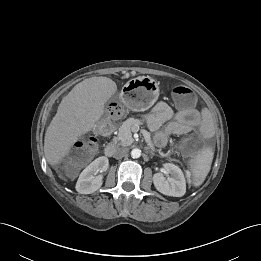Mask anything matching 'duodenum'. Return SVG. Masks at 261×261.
Here are the masks:
<instances>
[{"mask_svg": "<svg viewBox=\"0 0 261 261\" xmlns=\"http://www.w3.org/2000/svg\"><path fill=\"white\" fill-rule=\"evenodd\" d=\"M112 128L113 124L111 121H105L99 127L100 131L104 134L111 132ZM104 152L106 156L111 157L115 152V147L112 144H109L105 147Z\"/></svg>", "mask_w": 261, "mask_h": 261, "instance_id": "duodenum-1", "label": "duodenum"}]
</instances>
